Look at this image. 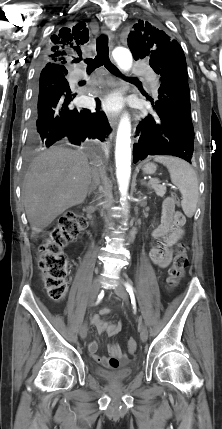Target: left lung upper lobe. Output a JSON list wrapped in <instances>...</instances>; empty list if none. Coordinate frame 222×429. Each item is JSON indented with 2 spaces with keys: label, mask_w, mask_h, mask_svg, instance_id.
Wrapping results in <instances>:
<instances>
[{
  "label": "left lung upper lobe",
  "mask_w": 222,
  "mask_h": 429,
  "mask_svg": "<svg viewBox=\"0 0 222 429\" xmlns=\"http://www.w3.org/2000/svg\"><path fill=\"white\" fill-rule=\"evenodd\" d=\"M128 46L135 60L149 57L150 66L160 74L174 69L188 78L186 59L180 44L148 22L138 21L128 35Z\"/></svg>",
  "instance_id": "obj_1"
}]
</instances>
